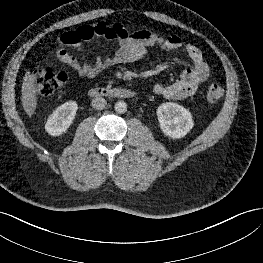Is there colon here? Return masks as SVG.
I'll return each instance as SVG.
<instances>
[{
    "label": "colon",
    "instance_id": "obj_1",
    "mask_svg": "<svg viewBox=\"0 0 263 263\" xmlns=\"http://www.w3.org/2000/svg\"><path fill=\"white\" fill-rule=\"evenodd\" d=\"M35 90L41 96L52 95L66 83L68 75L65 72H55L51 68H38L33 72ZM224 94L223 87L218 83H211L207 89V98L211 102L218 101Z\"/></svg>",
    "mask_w": 263,
    "mask_h": 263
}]
</instances>
